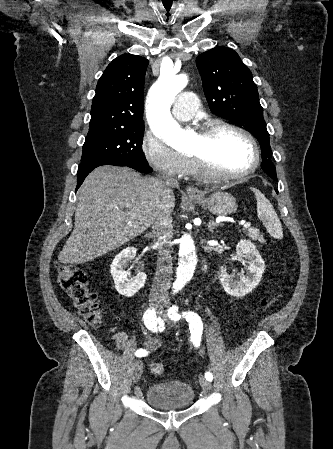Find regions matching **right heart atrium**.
Wrapping results in <instances>:
<instances>
[{"mask_svg":"<svg viewBox=\"0 0 333 449\" xmlns=\"http://www.w3.org/2000/svg\"><path fill=\"white\" fill-rule=\"evenodd\" d=\"M141 150L145 160L159 173L177 178L186 174L189 159L167 145L154 133H145Z\"/></svg>","mask_w":333,"mask_h":449,"instance_id":"d8ad5b80","label":"right heart atrium"}]
</instances>
